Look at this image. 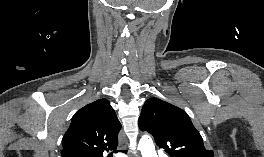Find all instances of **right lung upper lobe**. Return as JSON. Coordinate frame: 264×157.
Instances as JSON below:
<instances>
[{"mask_svg": "<svg viewBox=\"0 0 264 157\" xmlns=\"http://www.w3.org/2000/svg\"><path fill=\"white\" fill-rule=\"evenodd\" d=\"M121 124L107 99H98L76 112L66 131L61 157H103L117 152Z\"/></svg>", "mask_w": 264, "mask_h": 157, "instance_id": "cb5924a9", "label": "right lung upper lobe"}]
</instances>
